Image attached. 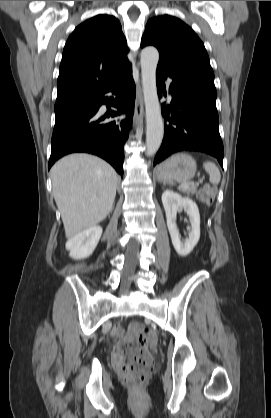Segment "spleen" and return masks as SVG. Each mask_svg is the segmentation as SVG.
<instances>
[{
	"label": "spleen",
	"mask_w": 271,
	"mask_h": 418,
	"mask_svg": "<svg viewBox=\"0 0 271 418\" xmlns=\"http://www.w3.org/2000/svg\"><path fill=\"white\" fill-rule=\"evenodd\" d=\"M204 169L209 174V180L212 184L216 185L220 182L221 174L218 167L213 162H204Z\"/></svg>",
	"instance_id": "3e777b00"
}]
</instances>
